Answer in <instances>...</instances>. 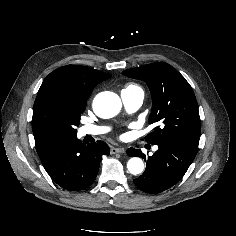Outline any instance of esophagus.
<instances>
[{
	"label": "esophagus",
	"instance_id": "1",
	"mask_svg": "<svg viewBox=\"0 0 236 236\" xmlns=\"http://www.w3.org/2000/svg\"><path fill=\"white\" fill-rule=\"evenodd\" d=\"M125 149L124 148H116V147H112L110 150L111 154H116V153H124Z\"/></svg>",
	"mask_w": 236,
	"mask_h": 236
}]
</instances>
